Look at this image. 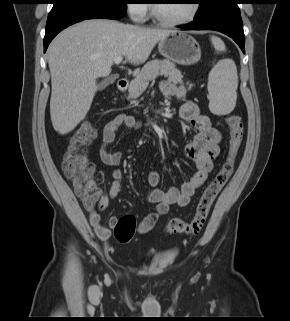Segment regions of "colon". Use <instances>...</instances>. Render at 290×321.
I'll return each mask as SVG.
<instances>
[{
  "mask_svg": "<svg viewBox=\"0 0 290 321\" xmlns=\"http://www.w3.org/2000/svg\"><path fill=\"white\" fill-rule=\"evenodd\" d=\"M226 123L230 129V139L225 161L201 193L193 218L190 221L179 218L171 219L167 224L169 234L197 235L200 233L215 199L229 180L242 144L244 127L240 116L236 114L228 115ZM94 134L93 124L90 121L82 122L71 137L62 162L65 176L87 209L94 207L100 198V191L94 180L95 168L86 155V148L91 143ZM135 231L136 220L132 215L122 216L114 227L115 238L120 243H128Z\"/></svg>",
  "mask_w": 290,
  "mask_h": 321,
  "instance_id": "1",
  "label": "colon"
}]
</instances>
